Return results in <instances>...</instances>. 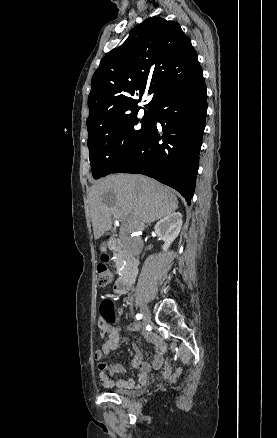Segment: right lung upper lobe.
Returning a JSON list of instances; mask_svg holds the SVG:
<instances>
[{
    "label": "right lung upper lobe",
    "instance_id": "right-lung-upper-lobe-1",
    "mask_svg": "<svg viewBox=\"0 0 277 438\" xmlns=\"http://www.w3.org/2000/svg\"><path fill=\"white\" fill-rule=\"evenodd\" d=\"M179 69L168 71L166 65ZM198 56L177 22L149 17L136 26L119 48L101 60L88 97L87 128L139 110L144 91L152 94V107L167 89L199 74ZM140 99H134L138 96Z\"/></svg>",
    "mask_w": 277,
    "mask_h": 438
}]
</instances>
